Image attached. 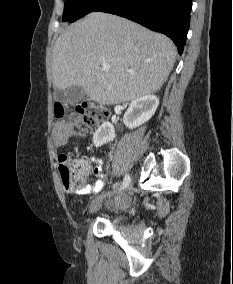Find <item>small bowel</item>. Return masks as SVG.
Listing matches in <instances>:
<instances>
[{"label": "small bowel", "mask_w": 233, "mask_h": 284, "mask_svg": "<svg viewBox=\"0 0 233 284\" xmlns=\"http://www.w3.org/2000/svg\"><path fill=\"white\" fill-rule=\"evenodd\" d=\"M71 133L72 130L70 126L65 124H59L57 126L56 136L60 143H63L71 135ZM75 162L86 177L89 175H94L97 180L91 186L82 187L80 189H69V191L79 194L99 192L103 188L105 183L100 160L95 157L91 158L90 160L85 158H78L75 160Z\"/></svg>", "instance_id": "small-bowel-1"}]
</instances>
